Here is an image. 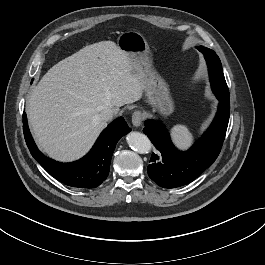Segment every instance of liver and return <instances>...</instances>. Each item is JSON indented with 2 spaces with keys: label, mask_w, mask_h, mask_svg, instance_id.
Listing matches in <instances>:
<instances>
[{
  "label": "liver",
  "mask_w": 265,
  "mask_h": 265,
  "mask_svg": "<svg viewBox=\"0 0 265 265\" xmlns=\"http://www.w3.org/2000/svg\"><path fill=\"white\" fill-rule=\"evenodd\" d=\"M140 65L112 41L85 46L42 77L27 101L34 138L46 154L69 162L84 156L106 126L101 111L140 100Z\"/></svg>",
  "instance_id": "1"
}]
</instances>
